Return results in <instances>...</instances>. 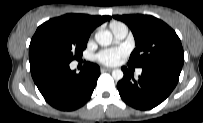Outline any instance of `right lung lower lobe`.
<instances>
[{"instance_id":"obj_1","label":"right lung lower lobe","mask_w":203,"mask_h":123,"mask_svg":"<svg viewBox=\"0 0 203 123\" xmlns=\"http://www.w3.org/2000/svg\"><path fill=\"white\" fill-rule=\"evenodd\" d=\"M32 78L45 100L54 108L71 111L91 97L100 68L87 62L80 73L71 71L69 62L50 58L30 60Z\"/></svg>"}]
</instances>
